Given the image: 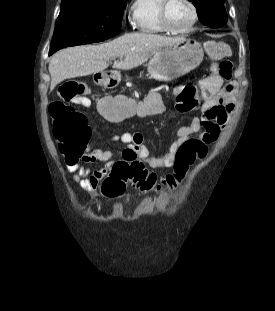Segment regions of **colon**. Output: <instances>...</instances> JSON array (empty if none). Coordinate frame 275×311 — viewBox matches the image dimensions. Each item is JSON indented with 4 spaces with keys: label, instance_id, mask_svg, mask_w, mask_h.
<instances>
[{
    "label": "colon",
    "instance_id": "colon-1",
    "mask_svg": "<svg viewBox=\"0 0 275 311\" xmlns=\"http://www.w3.org/2000/svg\"><path fill=\"white\" fill-rule=\"evenodd\" d=\"M208 54L213 60H220L218 72L224 79L232 75V63L223 59L228 54V46L223 42H207ZM89 91L85 84L79 81H67L58 90L62 101H56L50 106L53 119V133L59 142L61 153L70 159L78 158L85 150L89 140L90 129L86 116L80 111L69 107L64 102L72 104H90L91 98L86 97ZM198 89L195 86H179L174 90L176 101L190 100L198 103ZM149 97H100L98 112L113 125H124L125 121H135L136 117H158L162 113V93L150 92ZM207 142L191 139L184 142L176 155L174 169L168 173L161 183L157 174L149 170L138 160L116 162L110 174L101 184V197L122 196L127 186L142 192L174 189L182 184L190 167L198 160H203L208 153L207 143L214 140L213 136L206 137Z\"/></svg>",
    "mask_w": 275,
    "mask_h": 311
}]
</instances>
